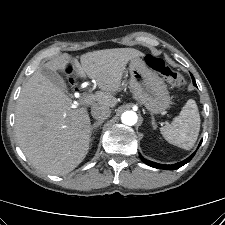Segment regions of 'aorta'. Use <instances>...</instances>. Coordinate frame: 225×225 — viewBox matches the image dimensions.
<instances>
[{"label": "aorta", "instance_id": "762f6f07", "mask_svg": "<svg viewBox=\"0 0 225 225\" xmlns=\"http://www.w3.org/2000/svg\"><path fill=\"white\" fill-rule=\"evenodd\" d=\"M138 116L134 111H125L121 115V121L127 126H133L137 123Z\"/></svg>", "mask_w": 225, "mask_h": 225}]
</instances>
